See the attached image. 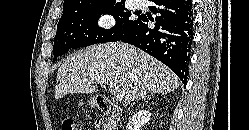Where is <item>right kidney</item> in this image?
<instances>
[{"mask_svg":"<svg viewBox=\"0 0 249 130\" xmlns=\"http://www.w3.org/2000/svg\"><path fill=\"white\" fill-rule=\"evenodd\" d=\"M151 113L148 110H139L132 115L127 123V130H140L145 124H149Z\"/></svg>","mask_w":249,"mask_h":130,"instance_id":"right-kidney-1","label":"right kidney"}]
</instances>
